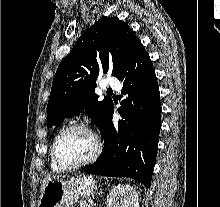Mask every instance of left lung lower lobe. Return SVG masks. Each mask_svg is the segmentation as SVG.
<instances>
[{
    "mask_svg": "<svg viewBox=\"0 0 220 207\" xmlns=\"http://www.w3.org/2000/svg\"><path fill=\"white\" fill-rule=\"evenodd\" d=\"M117 78L126 98L114 126L111 104L100 133L104 148L97 161L84 168L89 174L130 177L150 186L161 128L160 92L152 61L140 43Z\"/></svg>",
    "mask_w": 220,
    "mask_h": 207,
    "instance_id": "obj_1",
    "label": "left lung lower lobe"
}]
</instances>
